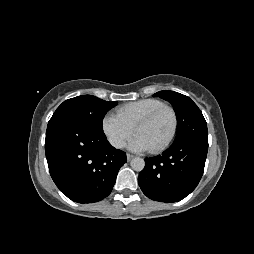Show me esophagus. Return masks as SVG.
Instances as JSON below:
<instances>
[{
	"label": "esophagus",
	"instance_id": "34e87169",
	"mask_svg": "<svg viewBox=\"0 0 254 254\" xmlns=\"http://www.w3.org/2000/svg\"><path fill=\"white\" fill-rule=\"evenodd\" d=\"M126 157H127V161H131L134 158V156L131 154H126Z\"/></svg>",
	"mask_w": 254,
	"mask_h": 254
}]
</instances>
